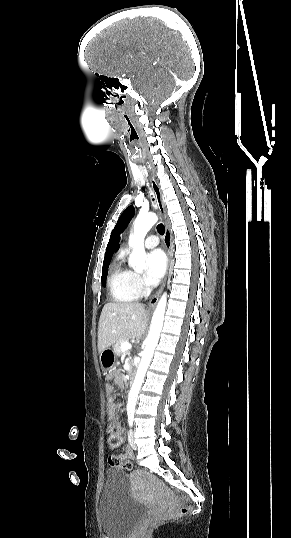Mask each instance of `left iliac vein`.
<instances>
[{"label": "left iliac vein", "mask_w": 291, "mask_h": 538, "mask_svg": "<svg viewBox=\"0 0 291 538\" xmlns=\"http://www.w3.org/2000/svg\"><path fill=\"white\" fill-rule=\"evenodd\" d=\"M128 441H129V445L132 449L136 450L137 449V446L134 442V433L132 430L129 431V434H128Z\"/></svg>", "instance_id": "4c4485c4"}]
</instances>
